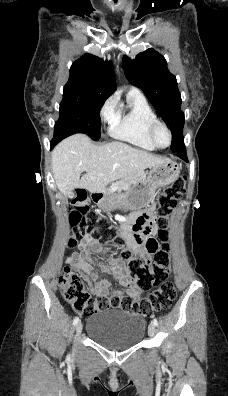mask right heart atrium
Wrapping results in <instances>:
<instances>
[{"label":"right heart atrium","instance_id":"d8ad5b80","mask_svg":"<svg viewBox=\"0 0 228 396\" xmlns=\"http://www.w3.org/2000/svg\"><path fill=\"white\" fill-rule=\"evenodd\" d=\"M117 112V104L113 97L108 98L100 110L101 120L106 123H111L115 118Z\"/></svg>","mask_w":228,"mask_h":396}]
</instances>
